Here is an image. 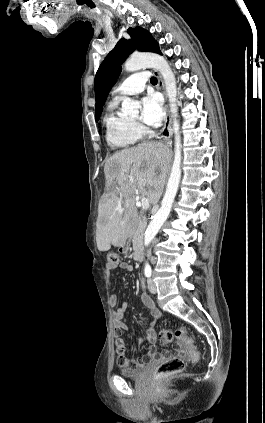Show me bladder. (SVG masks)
Returning a JSON list of instances; mask_svg holds the SVG:
<instances>
[{
  "label": "bladder",
  "instance_id": "bladder-1",
  "mask_svg": "<svg viewBox=\"0 0 265 423\" xmlns=\"http://www.w3.org/2000/svg\"><path fill=\"white\" fill-rule=\"evenodd\" d=\"M147 368H148V365L142 366L140 368H122L120 369V374L128 378H139L143 376Z\"/></svg>",
  "mask_w": 265,
  "mask_h": 423
}]
</instances>
